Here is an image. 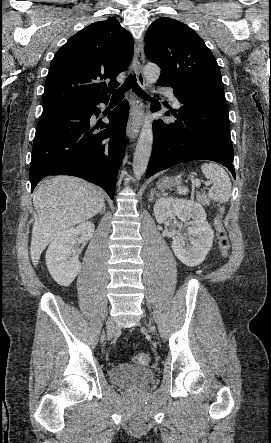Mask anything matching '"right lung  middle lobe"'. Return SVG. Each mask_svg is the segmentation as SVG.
<instances>
[{
  "label": "right lung middle lobe",
  "mask_w": 271,
  "mask_h": 443,
  "mask_svg": "<svg viewBox=\"0 0 271 443\" xmlns=\"http://www.w3.org/2000/svg\"><path fill=\"white\" fill-rule=\"evenodd\" d=\"M62 104H67V103L43 104V109L51 108V107L62 105Z\"/></svg>",
  "instance_id": "obj_1"
}]
</instances>
